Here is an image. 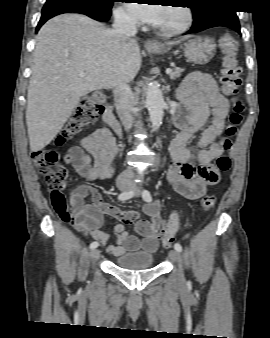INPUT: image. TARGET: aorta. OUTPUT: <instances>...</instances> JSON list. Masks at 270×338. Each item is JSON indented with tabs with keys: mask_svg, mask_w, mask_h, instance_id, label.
<instances>
[{
	"mask_svg": "<svg viewBox=\"0 0 270 338\" xmlns=\"http://www.w3.org/2000/svg\"><path fill=\"white\" fill-rule=\"evenodd\" d=\"M164 98L159 85L152 83L146 91V106L149 112L150 121L155 130L162 124L164 116Z\"/></svg>",
	"mask_w": 270,
	"mask_h": 338,
	"instance_id": "1",
	"label": "aorta"
}]
</instances>
